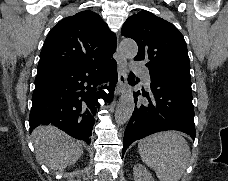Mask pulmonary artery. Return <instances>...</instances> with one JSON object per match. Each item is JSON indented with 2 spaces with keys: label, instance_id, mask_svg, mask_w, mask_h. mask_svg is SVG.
<instances>
[{
  "label": "pulmonary artery",
  "instance_id": "pulmonary-artery-1",
  "mask_svg": "<svg viewBox=\"0 0 228 181\" xmlns=\"http://www.w3.org/2000/svg\"><path fill=\"white\" fill-rule=\"evenodd\" d=\"M132 71H146V66H132ZM145 83L149 85V79L145 78Z\"/></svg>",
  "mask_w": 228,
  "mask_h": 181
}]
</instances>
